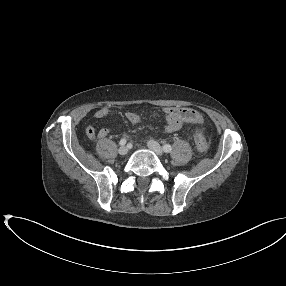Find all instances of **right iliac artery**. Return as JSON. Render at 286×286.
Instances as JSON below:
<instances>
[{"instance_id": "1", "label": "right iliac artery", "mask_w": 286, "mask_h": 286, "mask_svg": "<svg viewBox=\"0 0 286 286\" xmlns=\"http://www.w3.org/2000/svg\"><path fill=\"white\" fill-rule=\"evenodd\" d=\"M126 142H127V140H126L125 138H122V139L120 140L119 144H120L121 146H124V145L126 144Z\"/></svg>"}]
</instances>
